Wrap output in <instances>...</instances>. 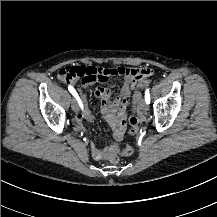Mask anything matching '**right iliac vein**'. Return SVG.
<instances>
[{"label":"right iliac vein","instance_id":"right-iliac-vein-1","mask_svg":"<svg viewBox=\"0 0 217 217\" xmlns=\"http://www.w3.org/2000/svg\"><path fill=\"white\" fill-rule=\"evenodd\" d=\"M71 108L74 112L78 111V104H77V101L75 99H72V101H71Z\"/></svg>","mask_w":217,"mask_h":217}]
</instances>
